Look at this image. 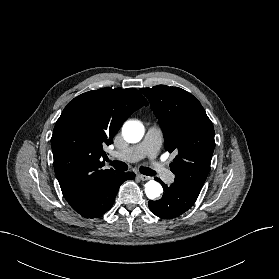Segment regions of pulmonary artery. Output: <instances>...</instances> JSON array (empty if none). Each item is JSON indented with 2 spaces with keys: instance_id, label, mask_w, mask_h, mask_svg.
Masks as SVG:
<instances>
[{
  "instance_id": "e3ab8cb5",
  "label": "pulmonary artery",
  "mask_w": 279,
  "mask_h": 279,
  "mask_svg": "<svg viewBox=\"0 0 279 279\" xmlns=\"http://www.w3.org/2000/svg\"><path fill=\"white\" fill-rule=\"evenodd\" d=\"M162 142V132L156 126H151L144 140L133 147H130L123 151H116L112 155L116 158L134 162L140 160L145 157L154 158L161 146ZM154 169L167 182H171L173 180V174L164 166V164L160 162H154Z\"/></svg>"
}]
</instances>
